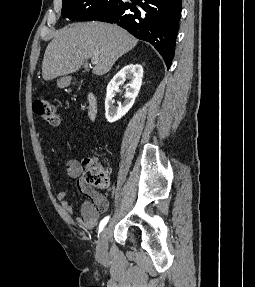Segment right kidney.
Returning a JSON list of instances; mask_svg holds the SVG:
<instances>
[{"mask_svg": "<svg viewBox=\"0 0 255 287\" xmlns=\"http://www.w3.org/2000/svg\"><path fill=\"white\" fill-rule=\"evenodd\" d=\"M143 78V68L140 64H129V66H124L111 82L107 86V94L105 100V116L108 122H117L122 116H125L132 108L136 96L141 88ZM125 80H130L128 88L125 92V102L123 104H118L117 108L114 106V90L124 84Z\"/></svg>", "mask_w": 255, "mask_h": 287, "instance_id": "ca27d5eb", "label": "right kidney"}]
</instances>
